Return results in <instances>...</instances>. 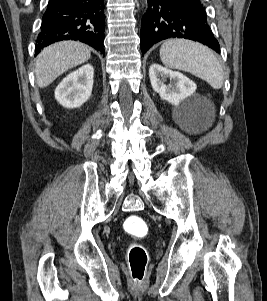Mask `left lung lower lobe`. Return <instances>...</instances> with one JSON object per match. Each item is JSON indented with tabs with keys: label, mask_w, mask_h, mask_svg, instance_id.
I'll return each instance as SVG.
<instances>
[{
	"label": "left lung lower lobe",
	"mask_w": 267,
	"mask_h": 301,
	"mask_svg": "<svg viewBox=\"0 0 267 301\" xmlns=\"http://www.w3.org/2000/svg\"><path fill=\"white\" fill-rule=\"evenodd\" d=\"M170 37L198 41L220 53L201 0H148L141 27L142 56L152 45Z\"/></svg>",
	"instance_id": "1"
}]
</instances>
